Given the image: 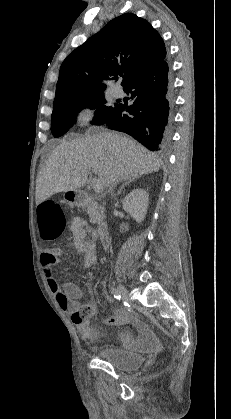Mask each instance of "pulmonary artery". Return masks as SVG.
<instances>
[{
  "label": "pulmonary artery",
  "instance_id": "obj_1",
  "mask_svg": "<svg viewBox=\"0 0 231 419\" xmlns=\"http://www.w3.org/2000/svg\"><path fill=\"white\" fill-rule=\"evenodd\" d=\"M112 94L116 98H121L124 96V91L120 86L116 85L112 88Z\"/></svg>",
  "mask_w": 231,
  "mask_h": 419
}]
</instances>
